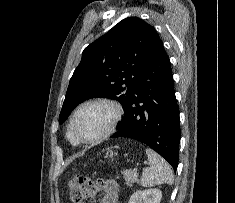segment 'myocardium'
<instances>
[{"label": "myocardium", "instance_id": "myocardium-1", "mask_svg": "<svg viewBox=\"0 0 235 203\" xmlns=\"http://www.w3.org/2000/svg\"><path fill=\"white\" fill-rule=\"evenodd\" d=\"M98 103L109 105L113 109V111H114L113 119H112L108 129L103 134H101L100 136L93 138V139H86L78 133L77 128H76V120H77L79 112L84 107H86L88 105H92V104H98ZM122 117H123V107L121 106V104L118 101L110 99V98H106V97H97V98L87 100L77 107V109L74 111V113L72 115L70 127H71V131H72L74 137L77 139V141L79 143L96 144V143H99V142L105 140L106 138L110 137L115 132Z\"/></svg>", "mask_w": 235, "mask_h": 203}]
</instances>
